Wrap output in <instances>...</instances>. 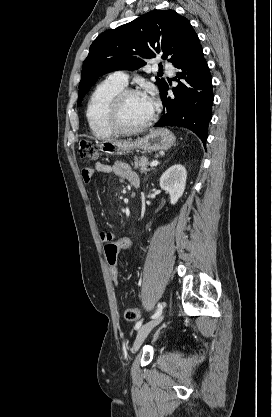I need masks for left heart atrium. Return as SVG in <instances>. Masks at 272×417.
<instances>
[{"instance_id":"39dd6f15","label":"left heart atrium","mask_w":272,"mask_h":417,"mask_svg":"<svg viewBox=\"0 0 272 417\" xmlns=\"http://www.w3.org/2000/svg\"><path fill=\"white\" fill-rule=\"evenodd\" d=\"M145 101L149 108L154 112L155 108L157 107V98L155 96V93L153 91L150 92V95L145 96Z\"/></svg>"}]
</instances>
